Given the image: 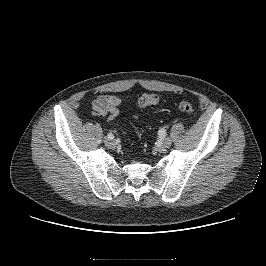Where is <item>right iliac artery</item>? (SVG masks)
<instances>
[{
    "label": "right iliac artery",
    "mask_w": 266,
    "mask_h": 266,
    "mask_svg": "<svg viewBox=\"0 0 266 266\" xmlns=\"http://www.w3.org/2000/svg\"><path fill=\"white\" fill-rule=\"evenodd\" d=\"M108 138L109 139H113L114 138V135L112 133H108Z\"/></svg>",
    "instance_id": "obj_1"
}]
</instances>
